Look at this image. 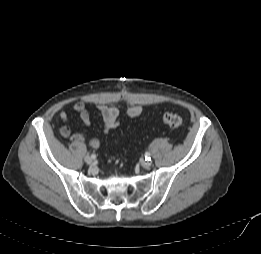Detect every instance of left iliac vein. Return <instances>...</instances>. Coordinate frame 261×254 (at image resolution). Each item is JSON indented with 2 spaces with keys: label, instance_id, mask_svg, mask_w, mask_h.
Wrapping results in <instances>:
<instances>
[{
  "label": "left iliac vein",
  "instance_id": "obj_1",
  "mask_svg": "<svg viewBox=\"0 0 261 254\" xmlns=\"http://www.w3.org/2000/svg\"><path fill=\"white\" fill-rule=\"evenodd\" d=\"M151 164H152V162L151 161H143L142 162V166L144 167V168H149L150 166H151Z\"/></svg>",
  "mask_w": 261,
  "mask_h": 254
}]
</instances>
